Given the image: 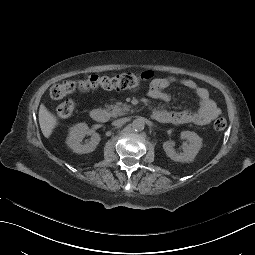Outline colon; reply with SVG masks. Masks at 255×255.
Instances as JSON below:
<instances>
[{"label":"colon","instance_id":"1","mask_svg":"<svg viewBox=\"0 0 255 255\" xmlns=\"http://www.w3.org/2000/svg\"><path fill=\"white\" fill-rule=\"evenodd\" d=\"M153 77V73L145 71L140 74L122 73L113 77L90 75L80 80H68L62 83L55 84L50 89V96L53 99H62L65 96L79 91L87 92L97 88L124 90L144 85ZM75 109V103L72 100H66L59 104L56 108V113L60 117L70 116ZM227 126V119L224 115L217 116L213 123V128L216 131H222Z\"/></svg>","mask_w":255,"mask_h":255}]
</instances>
